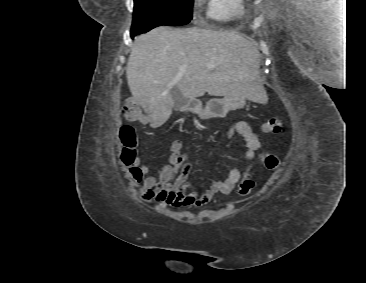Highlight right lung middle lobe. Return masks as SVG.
Here are the masks:
<instances>
[{
  "label": "right lung middle lobe",
  "mask_w": 366,
  "mask_h": 283,
  "mask_svg": "<svg viewBox=\"0 0 366 283\" xmlns=\"http://www.w3.org/2000/svg\"><path fill=\"white\" fill-rule=\"evenodd\" d=\"M193 0H134L131 33H145L160 25H185L192 19Z\"/></svg>",
  "instance_id": "dd1d6c3e"
}]
</instances>
